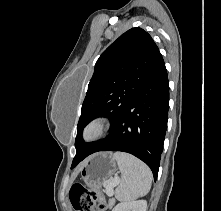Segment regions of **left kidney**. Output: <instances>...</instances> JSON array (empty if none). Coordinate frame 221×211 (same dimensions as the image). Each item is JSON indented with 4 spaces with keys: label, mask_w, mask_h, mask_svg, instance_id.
I'll return each instance as SVG.
<instances>
[{
    "label": "left kidney",
    "mask_w": 221,
    "mask_h": 211,
    "mask_svg": "<svg viewBox=\"0 0 221 211\" xmlns=\"http://www.w3.org/2000/svg\"><path fill=\"white\" fill-rule=\"evenodd\" d=\"M146 200L123 201L117 204L112 211H146Z\"/></svg>",
    "instance_id": "left-kidney-1"
}]
</instances>
